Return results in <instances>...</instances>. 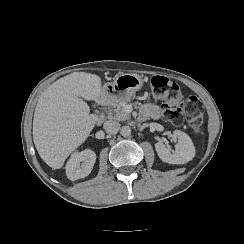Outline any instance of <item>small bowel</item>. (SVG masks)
Returning a JSON list of instances; mask_svg holds the SVG:
<instances>
[{
	"instance_id": "c3829d8e",
	"label": "small bowel",
	"mask_w": 244,
	"mask_h": 244,
	"mask_svg": "<svg viewBox=\"0 0 244 244\" xmlns=\"http://www.w3.org/2000/svg\"><path fill=\"white\" fill-rule=\"evenodd\" d=\"M162 116V111L159 106L155 104H145L141 109L142 119H159Z\"/></svg>"
}]
</instances>
